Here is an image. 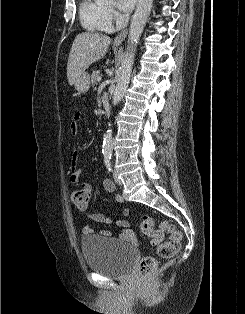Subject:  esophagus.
Here are the masks:
<instances>
[{
    "mask_svg": "<svg viewBox=\"0 0 245 314\" xmlns=\"http://www.w3.org/2000/svg\"><path fill=\"white\" fill-rule=\"evenodd\" d=\"M127 33H128V30H127V29H125V30H123L121 33H119V34L114 38V43H116V44L122 43V42L125 40V38H126V36H127Z\"/></svg>",
    "mask_w": 245,
    "mask_h": 314,
    "instance_id": "34e87169",
    "label": "esophagus"
}]
</instances>
